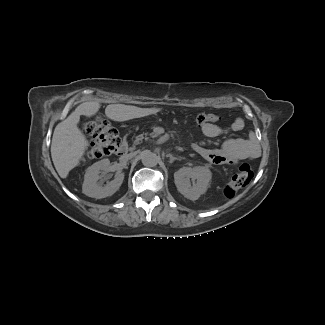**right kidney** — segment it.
Segmentation results:
<instances>
[{
  "instance_id": "ca27d5eb",
  "label": "right kidney",
  "mask_w": 325,
  "mask_h": 325,
  "mask_svg": "<svg viewBox=\"0 0 325 325\" xmlns=\"http://www.w3.org/2000/svg\"><path fill=\"white\" fill-rule=\"evenodd\" d=\"M110 168L109 159H103L89 167L84 176L82 192L92 198L101 199L113 195L124 180V173L117 172L114 179L105 186L98 184L100 171H107Z\"/></svg>"
}]
</instances>
